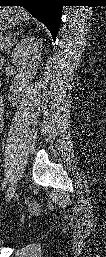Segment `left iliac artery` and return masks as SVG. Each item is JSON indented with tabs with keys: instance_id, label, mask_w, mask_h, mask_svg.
Here are the masks:
<instances>
[{
	"instance_id": "1",
	"label": "left iliac artery",
	"mask_w": 106,
	"mask_h": 257,
	"mask_svg": "<svg viewBox=\"0 0 106 257\" xmlns=\"http://www.w3.org/2000/svg\"><path fill=\"white\" fill-rule=\"evenodd\" d=\"M6 184H7V179H4V181H3V183H2V190H4Z\"/></svg>"
}]
</instances>
